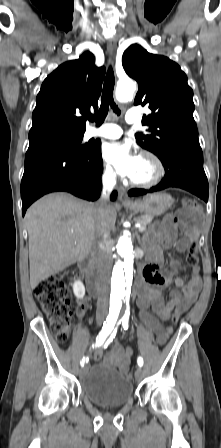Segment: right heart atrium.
I'll return each instance as SVG.
<instances>
[{
  "instance_id": "d8ad5b80",
  "label": "right heart atrium",
  "mask_w": 221,
  "mask_h": 448,
  "mask_svg": "<svg viewBox=\"0 0 221 448\" xmlns=\"http://www.w3.org/2000/svg\"><path fill=\"white\" fill-rule=\"evenodd\" d=\"M102 179L105 183L110 184V185H112L116 182L117 175L111 165H109V164L104 165V168L102 171Z\"/></svg>"
}]
</instances>
